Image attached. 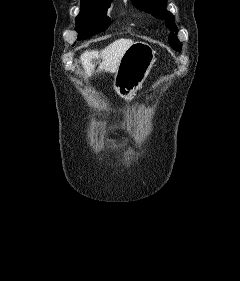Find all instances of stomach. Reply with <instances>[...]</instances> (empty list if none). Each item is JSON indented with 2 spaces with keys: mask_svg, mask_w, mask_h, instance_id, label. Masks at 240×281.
I'll list each match as a JSON object with an SVG mask.
<instances>
[{
  "mask_svg": "<svg viewBox=\"0 0 240 281\" xmlns=\"http://www.w3.org/2000/svg\"><path fill=\"white\" fill-rule=\"evenodd\" d=\"M155 51L144 42H134L123 55L114 78L117 94L128 100L149 75L155 62Z\"/></svg>",
  "mask_w": 240,
  "mask_h": 281,
  "instance_id": "obj_1",
  "label": "stomach"
}]
</instances>
